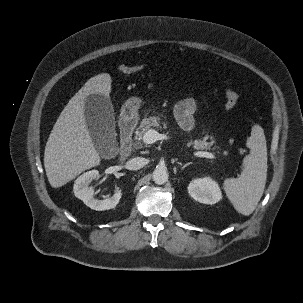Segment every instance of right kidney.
Segmentation results:
<instances>
[{
	"mask_svg": "<svg viewBox=\"0 0 303 303\" xmlns=\"http://www.w3.org/2000/svg\"><path fill=\"white\" fill-rule=\"evenodd\" d=\"M98 175L99 172L97 170H91L79 176L74 183V194L93 210L103 211L113 209L119 203L122 193L121 191H117L112 197L103 200L94 198V189L89 185Z\"/></svg>",
	"mask_w": 303,
	"mask_h": 303,
	"instance_id": "right-kidney-1",
	"label": "right kidney"
}]
</instances>
